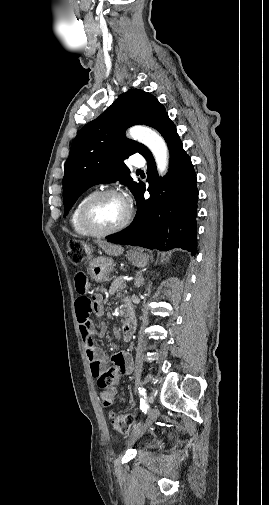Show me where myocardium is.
<instances>
[{
	"label": "myocardium",
	"instance_id": "myocardium-1",
	"mask_svg": "<svg viewBox=\"0 0 269 505\" xmlns=\"http://www.w3.org/2000/svg\"><path fill=\"white\" fill-rule=\"evenodd\" d=\"M106 196H120L123 198V195L121 194L120 191L109 188V189H104L97 191L93 193L89 198L83 203L80 213H79V220L83 228L88 231L91 235L94 236H108L111 234H115L117 232L122 231L124 228L128 226L132 219V208L129 203H127V212L124 217V219L116 226L111 227V228H101L95 225L90 217L89 213L92 208V206L101 198H104Z\"/></svg>",
	"mask_w": 269,
	"mask_h": 505
}]
</instances>
